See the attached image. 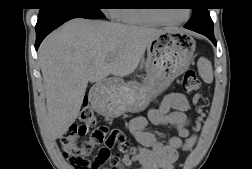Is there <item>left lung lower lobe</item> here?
<instances>
[{
  "instance_id": "left-lung-lower-lobe-1",
  "label": "left lung lower lobe",
  "mask_w": 252,
  "mask_h": 169,
  "mask_svg": "<svg viewBox=\"0 0 252 169\" xmlns=\"http://www.w3.org/2000/svg\"><path fill=\"white\" fill-rule=\"evenodd\" d=\"M196 32H198V31H196ZM198 33L206 35L216 45V40L214 38V33H204V32H198Z\"/></svg>"
}]
</instances>
